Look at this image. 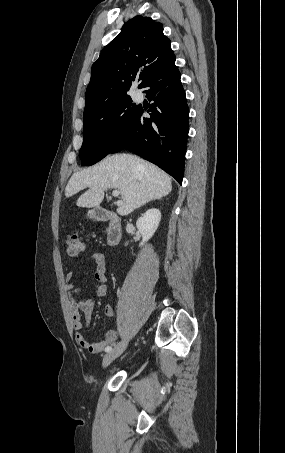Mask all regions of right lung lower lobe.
<instances>
[{"mask_svg":"<svg viewBox=\"0 0 285 453\" xmlns=\"http://www.w3.org/2000/svg\"><path fill=\"white\" fill-rule=\"evenodd\" d=\"M181 75L174 65L151 78L144 88L149 101L150 118L142 116L139 106L129 127L110 153L127 149L156 164L180 184L188 135V106Z\"/></svg>","mask_w":285,"mask_h":453,"instance_id":"obj_1","label":"right lung lower lobe"}]
</instances>
